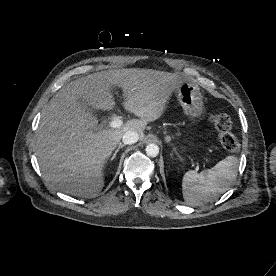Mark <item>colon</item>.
Instances as JSON below:
<instances>
[{
    "label": "colon",
    "mask_w": 276,
    "mask_h": 276,
    "mask_svg": "<svg viewBox=\"0 0 276 276\" xmlns=\"http://www.w3.org/2000/svg\"><path fill=\"white\" fill-rule=\"evenodd\" d=\"M210 121L218 131V139L222 147L230 152H236L240 148L237 136L232 132V120L226 113H213Z\"/></svg>",
    "instance_id": "obj_1"
}]
</instances>
